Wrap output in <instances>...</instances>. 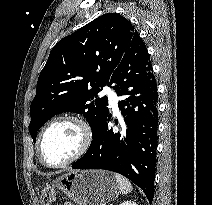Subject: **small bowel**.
I'll list each match as a JSON object with an SVG mask.
<instances>
[{
	"mask_svg": "<svg viewBox=\"0 0 212 205\" xmlns=\"http://www.w3.org/2000/svg\"><path fill=\"white\" fill-rule=\"evenodd\" d=\"M64 205H74V204H72V203H65Z\"/></svg>",
	"mask_w": 212,
	"mask_h": 205,
	"instance_id": "obj_1",
	"label": "small bowel"
}]
</instances>
